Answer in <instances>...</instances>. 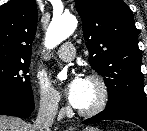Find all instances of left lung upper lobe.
<instances>
[{
	"label": "left lung upper lobe",
	"instance_id": "obj_1",
	"mask_svg": "<svg viewBox=\"0 0 147 131\" xmlns=\"http://www.w3.org/2000/svg\"><path fill=\"white\" fill-rule=\"evenodd\" d=\"M89 63L104 77L106 108L125 104L147 105L131 9L122 0H77Z\"/></svg>",
	"mask_w": 147,
	"mask_h": 131
}]
</instances>
